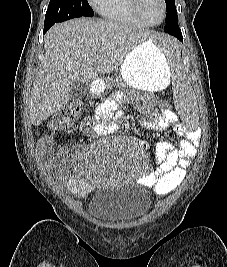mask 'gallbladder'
Here are the masks:
<instances>
[{
  "label": "gallbladder",
  "mask_w": 227,
  "mask_h": 267,
  "mask_svg": "<svg viewBox=\"0 0 227 267\" xmlns=\"http://www.w3.org/2000/svg\"><path fill=\"white\" fill-rule=\"evenodd\" d=\"M88 91V86L78 81L71 84L69 88V98L72 101L80 100Z\"/></svg>",
  "instance_id": "gallbladder-1"
}]
</instances>
